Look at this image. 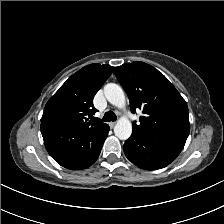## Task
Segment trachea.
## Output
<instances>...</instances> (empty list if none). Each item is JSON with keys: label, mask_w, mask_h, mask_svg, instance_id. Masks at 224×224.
Wrapping results in <instances>:
<instances>
[{"label": "trachea", "mask_w": 224, "mask_h": 224, "mask_svg": "<svg viewBox=\"0 0 224 224\" xmlns=\"http://www.w3.org/2000/svg\"><path fill=\"white\" fill-rule=\"evenodd\" d=\"M116 119L117 117L115 113L113 111H109L104 114V117L102 120L99 118L92 117L91 121L92 122H99V121L109 122V121H116Z\"/></svg>", "instance_id": "1"}]
</instances>
